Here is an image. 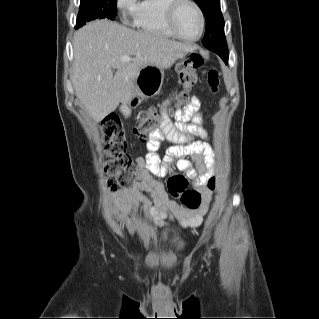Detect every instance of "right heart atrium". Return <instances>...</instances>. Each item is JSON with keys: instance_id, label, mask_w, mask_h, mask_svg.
Returning <instances> with one entry per match:
<instances>
[{"instance_id": "1", "label": "right heart atrium", "mask_w": 319, "mask_h": 319, "mask_svg": "<svg viewBox=\"0 0 319 319\" xmlns=\"http://www.w3.org/2000/svg\"><path fill=\"white\" fill-rule=\"evenodd\" d=\"M116 6L123 14H133L137 7V0H117Z\"/></svg>"}]
</instances>
